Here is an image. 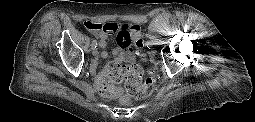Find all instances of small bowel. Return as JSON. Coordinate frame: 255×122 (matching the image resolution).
Listing matches in <instances>:
<instances>
[{
  "label": "small bowel",
  "mask_w": 255,
  "mask_h": 122,
  "mask_svg": "<svg viewBox=\"0 0 255 122\" xmlns=\"http://www.w3.org/2000/svg\"><path fill=\"white\" fill-rule=\"evenodd\" d=\"M94 36L97 38L98 40V45L101 48H105L107 46L108 43V34L104 33V32H94ZM117 45L121 48V50H117L114 49L112 50V55L114 57V61L119 63V62H126V63H134L136 60V55L133 49H129V50H124L123 48L125 46H132V45H128L125 43V40L123 37H120L118 35L117 37ZM108 52L107 51H103L102 52V57L103 58H107L108 57ZM99 89V87H98ZM120 92H122L121 89H119ZM106 96V95H104ZM107 97H112V96H107ZM117 97V96H114Z\"/></svg>",
  "instance_id": "small-bowel-1"
}]
</instances>
